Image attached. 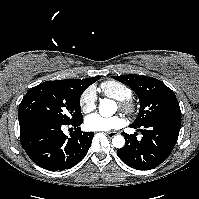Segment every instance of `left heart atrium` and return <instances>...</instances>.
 <instances>
[{
  "mask_svg": "<svg viewBox=\"0 0 199 199\" xmlns=\"http://www.w3.org/2000/svg\"><path fill=\"white\" fill-rule=\"evenodd\" d=\"M85 124L92 131H109L122 126L123 119L119 116L103 117L98 113H94L86 118Z\"/></svg>",
  "mask_w": 199,
  "mask_h": 199,
  "instance_id": "1",
  "label": "left heart atrium"
}]
</instances>
